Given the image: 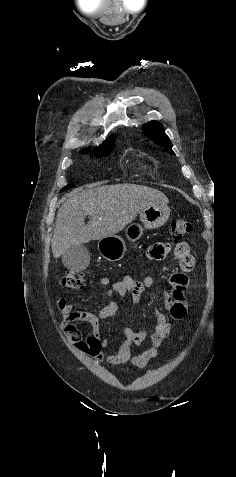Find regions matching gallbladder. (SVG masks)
<instances>
[{
    "label": "gallbladder",
    "mask_w": 236,
    "mask_h": 477,
    "mask_svg": "<svg viewBox=\"0 0 236 477\" xmlns=\"http://www.w3.org/2000/svg\"><path fill=\"white\" fill-rule=\"evenodd\" d=\"M90 261V254L84 245H72L62 255V262L71 271L84 270Z\"/></svg>",
    "instance_id": "1"
}]
</instances>
